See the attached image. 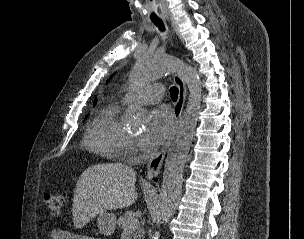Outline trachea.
Segmentation results:
<instances>
[{
	"mask_svg": "<svg viewBox=\"0 0 304 239\" xmlns=\"http://www.w3.org/2000/svg\"><path fill=\"white\" fill-rule=\"evenodd\" d=\"M146 4L149 6V9L151 11H154L157 7V4L155 3V0H146ZM148 18L151 19V21L161 30L164 31L165 27L163 24V21L159 17L158 12H149ZM170 96L172 100L176 101L178 97V88L177 87H171L170 88Z\"/></svg>",
	"mask_w": 304,
	"mask_h": 239,
	"instance_id": "trachea-1",
	"label": "trachea"
}]
</instances>
